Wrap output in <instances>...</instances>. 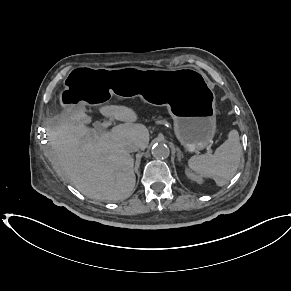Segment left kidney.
I'll use <instances>...</instances> for the list:
<instances>
[{
    "label": "left kidney",
    "instance_id": "5707ae66",
    "mask_svg": "<svg viewBox=\"0 0 291 291\" xmlns=\"http://www.w3.org/2000/svg\"><path fill=\"white\" fill-rule=\"evenodd\" d=\"M185 174H186V176H187L189 179H191V180H193V181H196V182H201V181H202L201 178H200L199 176H197V175H195L194 173H192L189 169H185Z\"/></svg>",
    "mask_w": 291,
    "mask_h": 291
}]
</instances>
